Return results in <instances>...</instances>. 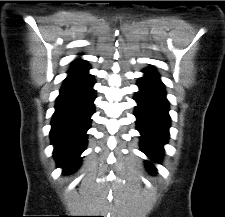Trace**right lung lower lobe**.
Segmentation results:
<instances>
[{
  "label": "right lung lower lobe",
  "mask_w": 225,
  "mask_h": 217,
  "mask_svg": "<svg viewBox=\"0 0 225 217\" xmlns=\"http://www.w3.org/2000/svg\"><path fill=\"white\" fill-rule=\"evenodd\" d=\"M93 77L65 81L57 97L50 131L54 157L65 173L75 171L87 145L86 131L94 113Z\"/></svg>",
  "instance_id": "right-lung-lower-lobe-1"
}]
</instances>
